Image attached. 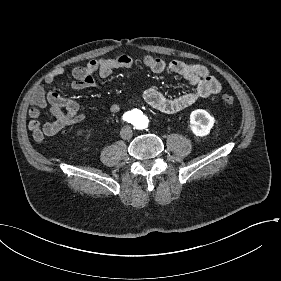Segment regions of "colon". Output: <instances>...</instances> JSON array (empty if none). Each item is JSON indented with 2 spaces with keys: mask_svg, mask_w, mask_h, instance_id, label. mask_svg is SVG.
I'll return each mask as SVG.
<instances>
[{
  "mask_svg": "<svg viewBox=\"0 0 281 281\" xmlns=\"http://www.w3.org/2000/svg\"><path fill=\"white\" fill-rule=\"evenodd\" d=\"M222 103L225 105H231L234 103V97L231 95H224L221 98ZM37 139L39 140L38 142L41 143L43 141V139L41 138L40 134L37 135Z\"/></svg>",
  "mask_w": 281,
  "mask_h": 281,
  "instance_id": "1",
  "label": "colon"
}]
</instances>
